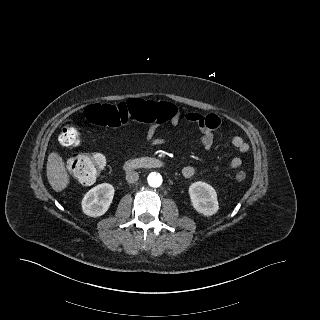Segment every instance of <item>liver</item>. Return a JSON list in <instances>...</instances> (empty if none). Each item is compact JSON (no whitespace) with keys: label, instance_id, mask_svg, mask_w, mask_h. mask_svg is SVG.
<instances>
[{"label":"liver","instance_id":"obj_1","mask_svg":"<svg viewBox=\"0 0 320 320\" xmlns=\"http://www.w3.org/2000/svg\"><path fill=\"white\" fill-rule=\"evenodd\" d=\"M47 178L49 184L56 192L64 190L70 177L66 172L62 157L57 152H51L47 159Z\"/></svg>","mask_w":320,"mask_h":320}]
</instances>
